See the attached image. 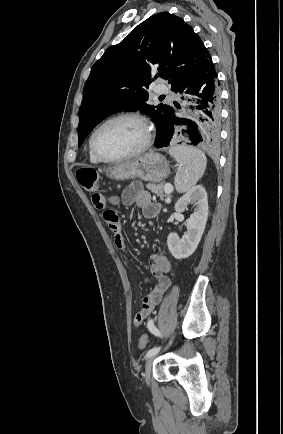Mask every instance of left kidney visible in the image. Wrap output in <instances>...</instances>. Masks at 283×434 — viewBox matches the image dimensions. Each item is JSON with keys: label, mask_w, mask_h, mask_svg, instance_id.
Listing matches in <instances>:
<instances>
[{"label": "left kidney", "mask_w": 283, "mask_h": 434, "mask_svg": "<svg viewBox=\"0 0 283 434\" xmlns=\"http://www.w3.org/2000/svg\"><path fill=\"white\" fill-rule=\"evenodd\" d=\"M189 204L195 206L194 212L186 222L187 232L180 238L177 233H170L167 245L175 259H184L191 256L202 238L208 218V199L203 186L197 185L186 192L175 204L179 213L187 210Z\"/></svg>", "instance_id": "5707ae66"}]
</instances>
